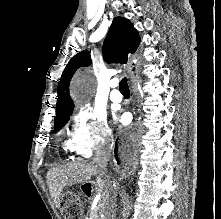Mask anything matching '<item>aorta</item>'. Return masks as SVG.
Listing matches in <instances>:
<instances>
[{
	"mask_svg": "<svg viewBox=\"0 0 221 219\" xmlns=\"http://www.w3.org/2000/svg\"><path fill=\"white\" fill-rule=\"evenodd\" d=\"M93 92V78L88 74H80L75 79L73 93L78 99H86Z\"/></svg>",
	"mask_w": 221,
	"mask_h": 219,
	"instance_id": "762f6f07",
	"label": "aorta"
}]
</instances>
